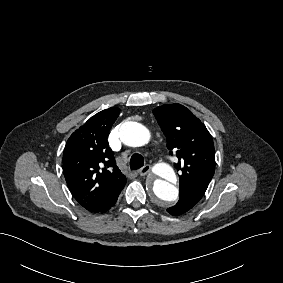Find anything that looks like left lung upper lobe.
Segmentation results:
<instances>
[{
    "mask_svg": "<svg viewBox=\"0 0 283 283\" xmlns=\"http://www.w3.org/2000/svg\"><path fill=\"white\" fill-rule=\"evenodd\" d=\"M153 113L166 136L167 148L176 150L179 159L175 164L182 171L179 194L189 192L202 197L215 172V150L210 133L180 104L163 105Z\"/></svg>",
    "mask_w": 283,
    "mask_h": 283,
    "instance_id": "left-lung-upper-lobe-1",
    "label": "left lung upper lobe"
}]
</instances>
